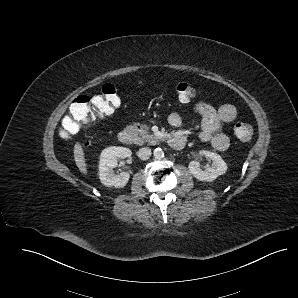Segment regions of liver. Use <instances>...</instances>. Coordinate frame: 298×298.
I'll use <instances>...</instances> for the list:
<instances>
[{"label": "liver", "mask_w": 298, "mask_h": 298, "mask_svg": "<svg viewBox=\"0 0 298 298\" xmlns=\"http://www.w3.org/2000/svg\"><path fill=\"white\" fill-rule=\"evenodd\" d=\"M74 160L76 163V166L78 167L79 171L83 173L84 175L87 174V165L85 162V157H84V151L82 148V145L77 142L74 145Z\"/></svg>", "instance_id": "6515ba94"}]
</instances>
